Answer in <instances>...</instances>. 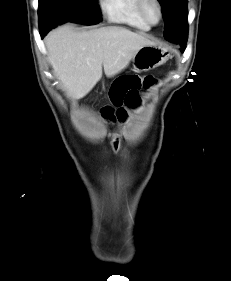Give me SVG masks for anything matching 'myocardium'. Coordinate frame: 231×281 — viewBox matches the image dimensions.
Segmentation results:
<instances>
[{"label": "myocardium", "mask_w": 231, "mask_h": 281, "mask_svg": "<svg viewBox=\"0 0 231 281\" xmlns=\"http://www.w3.org/2000/svg\"><path fill=\"white\" fill-rule=\"evenodd\" d=\"M149 4H153L158 11V18L156 21L152 20L147 12V6ZM138 7L142 18L149 24V25H157L163 19V8L159 0H138Z\"/></svg>", "instance_id": "obj_1"}]
</instances>
